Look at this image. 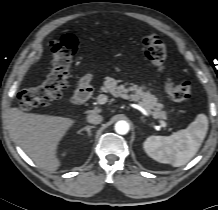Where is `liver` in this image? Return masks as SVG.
Listing matches in <instances>:
<instances>
[{"mask_svg":"<svg viewBox=\"0 0 218 210\" xmlns=\"http://www.w3.org/2000/svg\"><path fill=\"white\" fill-rule=\"evenodd\" d=\"M11 121L15 137L28 156L45 170H57L60 166L56 155L58 144L75 120L61 116L25 113L21 109L13 108Z\"/></svg>","mask_w":218,"mask_h":210,"instance_id":"obj_1","label":"liver"}]
</instances>
